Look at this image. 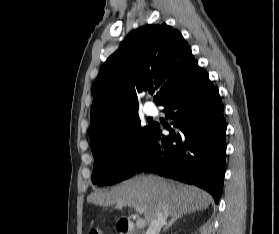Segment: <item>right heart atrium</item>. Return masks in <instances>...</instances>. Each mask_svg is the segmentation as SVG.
<instances>
[{"instance_id":"right-heart-atrium-1","label":"right heart atrium","mask_w":279,"mask_h":234,"mask_svg":"<svg viewBox=\"0 0 279 234\" xmlns=\"http://www.w3.org/2000/svg\"><path fill=\"white\" fill-rule=\"evenodd\" d=\"M124 147H125L126 152L129 155V157L133 158L135 155V149H136L134 142L131 139H128L125 141Z\"/></svg>"}]
</instances>
